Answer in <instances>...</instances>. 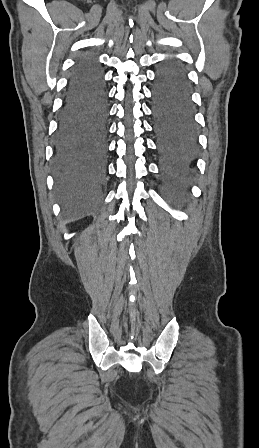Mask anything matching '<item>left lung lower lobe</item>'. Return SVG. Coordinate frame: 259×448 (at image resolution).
<instances>
[{
  "instance_id": "1",
  "label": "left lung lower lobe",
  "mask_w": 259,
  "mask_h": 448,
  "mask_svg": "<svg viewBox=\"0 0 259 448\" xmlns=\"http://www.w3.org/2000/svg\"><path fill=\"white\" fill-rule=\"evenodd\" d=\"M153 129L168 180L183 183L198 153L197 127L185 69L176 60L158 70L152 90Z\"/></svg>"
}]
</instances>
